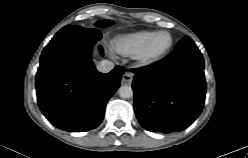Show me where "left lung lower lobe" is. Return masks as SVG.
I'll use <instances>...</instances> for the list:
<instances>
[{
    "label": "left lung lower lobe",
    "instance_id": "obj_1",
    "mask_svg": "<svg viewBox=\"0 0 248 158\" xmlns=\"http://www.w3.org/2000/svg\"><path fill=\"white\" fill-rule=\"evenodd\" d=\"M203 57L188 36L174 51L149 66L132 70L135 74L134 111L148 131H182L200 115L205 99Z\"/></svg>",
    "mask_w": 248,
    "mask_h": 158
}]
</instances>
